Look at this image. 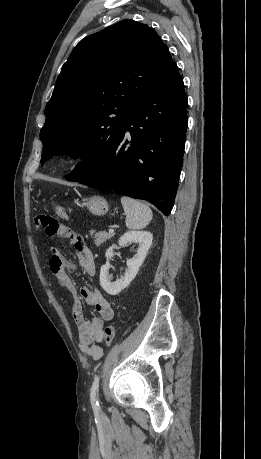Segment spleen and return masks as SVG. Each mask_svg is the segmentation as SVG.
Segmentation results:
<instances>
[{"mask_svg": "<svg viewBox=\"0 0 261 459\" xmlns=\"http://www.w3.org/2000/svg\"><path fill=\"white\" fill-rule=\"evenodd\" d=\"M121 204L126 215L127 228L142 229L152 220V210L148 205L127 196L121 197Z\"/></svg>", "mask_w": 261, "mask_h": 459, "instance_id": "obj_1", "label": "spleen"}]
</instances>
